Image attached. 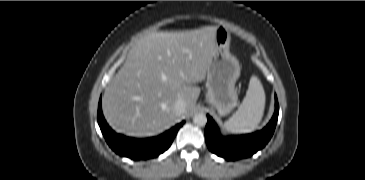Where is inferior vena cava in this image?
<instances>
[{
    "instance_id": "602c4592",
    "label": "inferior vena cava",
    "mask_w": 365,
    "mask_h": 180,
    "mask_svg": "<svg viewBox=\"0 0 365 180\" xmlns=\"http://www.w3.org/2000/svg\"><path fill=\"white\" fill-rule=\"evenodd\" d=\"M174 110L177 115H181L186 111V103L182 98L176 100L174 104Z\"/></svg>"
}]
</instances>
